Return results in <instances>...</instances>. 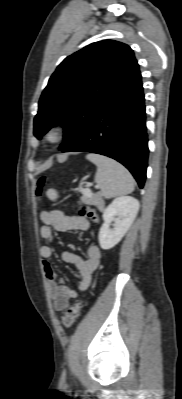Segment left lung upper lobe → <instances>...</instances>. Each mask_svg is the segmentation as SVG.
<instances>
[{"mask_svg": "<svg viewBox=\"0 0 182 399\" xmlns=\"http://www.w3.org/2000/svg\"><path fill=\"white\" fill-rule=\"evenodd\" d=\"M133 50L104 40L65 58L50 77L34 119L40 139L53 125L64 128V149L86 129L105 103L139 73Z\"/></svg>", "mask_w": 182, "mask_h": 399, "instance_id": "5c2ea615", "label": "left lung upper lobe"}]
</instances>
